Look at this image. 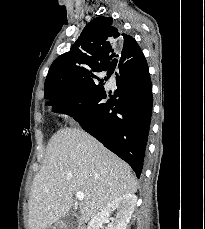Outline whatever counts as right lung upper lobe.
<instances>
[{
	"label": "right lung upper lobe",
	"instance_id": "right-lung-upper-lobe-1",
	"mask_svg": "<svg viewBox=\"0 0 205 229\" xmlns=\"http://www.w3.org/2000/svg\"><path fill=\"white\" fill-rule=\"evenodd\" d=\"M142 56L135 39L114 27L111 17H97L86 25L70 51L52 63L44 98L69 96L80 85L92 83L100 72L110 75L118 66H138Z\"/></svg>",
	"mask_w": 205,
	"mask_h": 229
}]
</instances>
